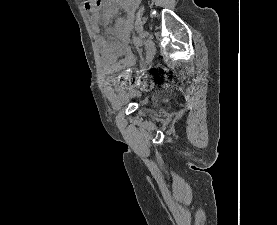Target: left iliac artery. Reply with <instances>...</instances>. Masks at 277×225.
<instances>
[{
    "label": "left iliac artery",
    "mask_w": 277,
    "mask_h": 225,
    "mask_svg": "<svg viewBox=\"0 0 277 225\" xmlns=\"http://www.w3.org/2000/svg\"><path fill=\"white\" fill-rule=\"evenodd\" d=\"M133 42L137 49H140L142 47V40L138 36L133 37Z\"/></svg>",
    "instance_id": "44dca946"
}]
</instances>
